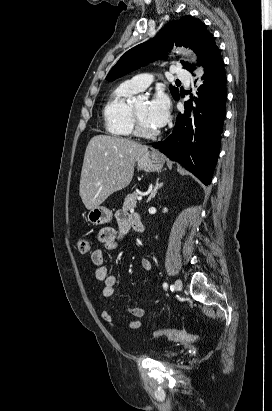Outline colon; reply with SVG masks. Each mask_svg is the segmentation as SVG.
Returning a JSON list of instances; mask_svg holds the SVG:
<instances>
[{"label":"colon","instance_id":"obj_1","mask_svg":"<svg viewBox=\"0 0 272 411\" xmlns=\"http://www.w3.org/2000/svg\"><path fill=\"white\" fill-rule=\"evenodd\" d=\"M78 249L81 253H87L90 249V244L87 239H80L78 241ZM154 337H165L175 342H194L198 339V335L195 333L187 332L184 330L175 329H157L152 332Z\"/></svg>","mask_w":272,"mask_h":411}]
</instances>
